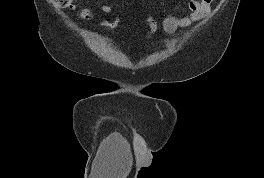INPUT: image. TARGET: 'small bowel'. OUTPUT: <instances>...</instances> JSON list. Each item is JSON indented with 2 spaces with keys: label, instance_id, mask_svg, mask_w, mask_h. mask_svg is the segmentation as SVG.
<instances>
[{
  "label": "small bowel",
  "instance_id": "small-bowel-1",
  "mask_svg": "<svg viewBox=\"0 0 264 178\" xmlns=\"http://www.w3.org/2000/svg\"><path fill=\"white\" fill-rule=\"evenodd\" d=\"M213 0H191L188 3V13L185 15H167L162 20V28L167 34H173L179 29L190 26L193 22L201 20L211 11ZM101 10L105 14H111L112 8L108 4H103ZM77 12L82 20H92L95 13L85 4L77 7Z\"/></svg>",
  "mask_w": 264,
  "mask_h": 178
}]
</instances>
